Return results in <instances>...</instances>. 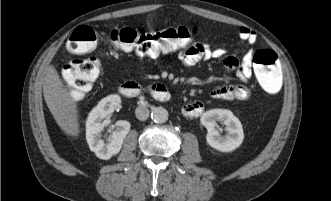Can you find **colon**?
Returning <instances> with one entry per match:
<instances>
[{
  "instance_id": "obj_1",
  "label": "colon",
  "mask_w": 331,
  "mask_h": 201,
  "mask_svg": "<svg viewBox=\"0 0 331 201\" xmlns=\"http://www.w3.org/2000/svg\"><path fill=\"white\" fill-rule=\"evenodd\" d=\"M197 34L195 27L167 28L153 32H139L133 28H113L105 38L117 49L135 52L141 56H158L192 45ZM97 43V33L88 26L78 27L67 42L74 55L92 51ZM255 75L262 88L277 93L282 86V66L278 55L270 49H260L253 55ZM100 75V63L95 58H75L63 68L62 77L74 98H81Z\"/></svg>"
}]
</instances>
